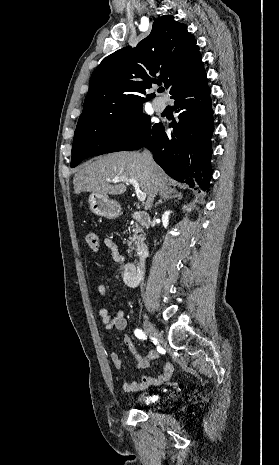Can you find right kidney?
Masks as SVG:
<instances>
[{"label": "right kidney", "instance_id": "1", "mask_svg": "<svg viewBox=\"0 0 279 465\" xmlns=\"http://www.w3.org/2000/svg\"><path fill=\"white\" fill-rule=\"evenodd\" d=\"M170 214H171V211L168 210V211H165L164 214L162 215V223H163L164 228H167L168 226Z\"/></svg>", "mask_w": 279, "mask_h": 465}]
</instances>
